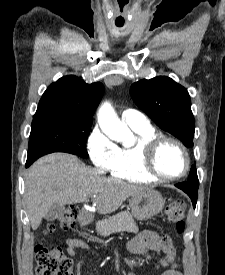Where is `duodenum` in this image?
Segmentation results:
<instances>
[{
	"label": "duodenum",
	"instance_id": "duodenum-1",
	"mask_svg": "<svg viewBox=\"0 0 225 275\" xmlns=\"http://www.w3.org/2000/svg\"><path fill=\"white\" fill-rule=\"evenodd\" d=\"M86 215H87V210H85V209L80 210V212L78 214V221L83 224L86 223V221H87Z\"/></svg>",
	"mask_w": 225,
	"mask_h": 275
}]
</instances>
